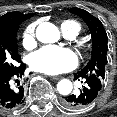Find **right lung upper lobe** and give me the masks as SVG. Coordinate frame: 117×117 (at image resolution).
I'll use <instances>...</instances> for the list:
<instances>
[{
	"label": "right lung upper lobe",
	"mask_w": 117,
	"mask_h": 117,
	"mask_svg": "<svg viewBox=\"0 0 117 117\" xmlns=\"http://www.w3.org/2000/svg\"><path fill=\"white\" fill-rule=\"evenodd\" d=\"M33 14H22L20 12H10L0 17V28L1 27H12L19 26V24L30 17Z\"/></svg>",
	"instance_id": "cb5924a9"
}]
</instances>
